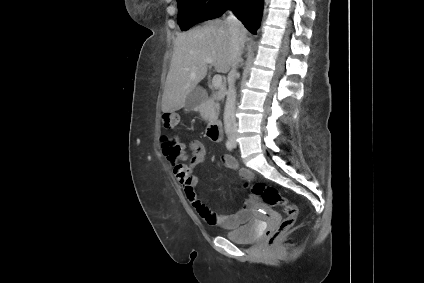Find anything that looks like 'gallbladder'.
Wrapping results in <instances>:
<instances>
[{
    "label": "gallbladder",
    "mask_w": 424,
    "mask_h": 283,
    "mask_svg": "<svg viewBox=\"0 0 424 283\" xmlns=\"http://www.w3.org/2000/svg\"><path fill=\"white\" fill-rule=\"evenodd\" d=\"M204 97V90L202 88H195L186 98L185 107L189 110L195 109L199 106Z\"/></svg>",
    "instance_id": "obj_1"
}]
</instances>
